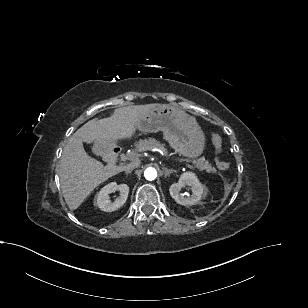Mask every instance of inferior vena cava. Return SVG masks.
Here are the masks:
<instances>
[{"label":"inferior vena cava","mask_w":308,"mask_h":308,"mask_svg":"<svg viewBox=\"0 0 308 308\" xmlns=\"http://www.w3.org/2000/svg\"><path fill=\"white\" fill-rule=\"evenodd\" d=\"M137 166H138L137 163H131V164H129V165L126 166L125 172H126L127 174H128V173H131L132 170H133L134 168H136Z\"/></svg>","instance_id":"602c4592"}]
</instances>
